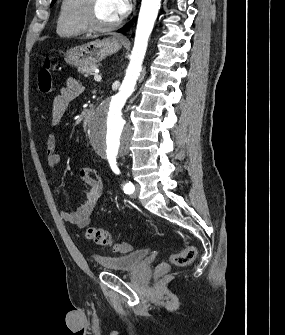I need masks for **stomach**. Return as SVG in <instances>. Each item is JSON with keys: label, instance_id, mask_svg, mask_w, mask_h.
Wrapping results in <instances>:
<instances>
[{"label": "stomach", "instance_id": "stomach-1", "mask_svg": "<svg viewBox=\"0 0 285 335\" xmlns=\"http://www.w3.org/2000/svg\"><path fill=\"white\" fill-rule=\"evenodd\" d=\"M122 44L116 38H104V40H95V42H88L84 46H75L70 48L64 54L66 64L74 66V68H83V66H90V64H98L107 56H112L120 50Z\"/></svg>", "mask_w": 285, "mask_h": 335}]
</instances>
